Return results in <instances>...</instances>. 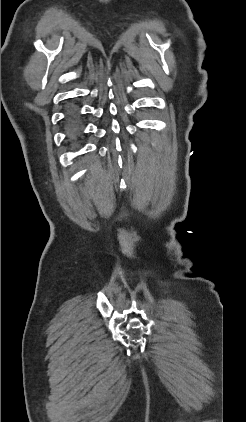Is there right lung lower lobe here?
<instances>
[{
  "label": "right lung lower lobe",
  "mask_w": 246,
  "mask_h": 422,
  "mask_svg": "<svg viewBox=\"0 0 246 422\" xmlns=\"http://www.w3.org/2000/svg\"><path fill=\"white\" fill-rule=\"evenodd\" d=\"M68 126H69V132H70V137L71 138H76L77 137V122L75 120V117H71L68 120Z\"/></svg>",
  "instance_id": "98d812e1"
}]
</instances>
